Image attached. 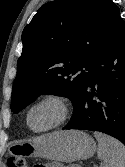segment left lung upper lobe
Listing matches in <instances>:
<instances>
[{
	"mask_svg": "<svg viewBox=\"0 0 125 167\" xmlns=\"http://www.w3.org/2000/svg\"><path fill=\"white\" fill-rule=\"evenodd\" d=\"M119 12L112 0H55L44 4L22 33L23 50L17 62L11 111L20 112L43 93L65 96L74 105Z\"/></svg>",
	"mask_w": 125,
	"mask_h": 167,
	"instance_id": "1",
	"label": "left lung upper lobe"
}]
</instances>
